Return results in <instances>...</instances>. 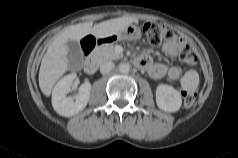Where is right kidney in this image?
<instances>
[{
    "label": "right kidney",
    "mask_w": 238,
    "mask_h": 158,
    "mask_svg": "<svg viewBox=\"0 0 238 158\" xmlns=\"http://www.w3.org/2000/svg\"><path fill=\"white\" fill-rule=\"evenodd\" d=\"M75 78V73L66 75L53 89L52 105L54 110L61 116L72 117L78 114L86 107L89 101L91 91V84L89 82H85L80 86L75 100L73 97L67 96Z\"/></svg>",
    "instance_id": "obj_1"
}]
</instances>
